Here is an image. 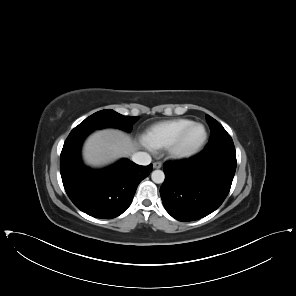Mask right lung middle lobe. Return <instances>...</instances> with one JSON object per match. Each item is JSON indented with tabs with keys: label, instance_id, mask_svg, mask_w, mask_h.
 <instances>
[{
	"label": "right lung middle lobe",
	"instance_id": "dd1d6c3e",
	"mask_svg": "<svg viewBox=\"0 0 296 296\" xmlns=\"http://www.w3.org/2000/svg\"><path fill=\"white\" fill-rule=\"evenodd\" d=\"M138 118L139 116H124L111 109H106L92 114L72 131L89 132L105 127H117L130 131L132 129V124L135 123Z\"/></svg>",
	"mask_w": 296,
	"mask_h": 296
}]
</instances>
